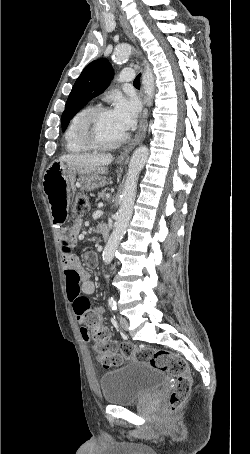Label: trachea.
Segmentation results:
<instances>
[{
    "label": "trachea",
    "instance_id": "obj_1",
    "mask_svg": "<svg viewBox=\"0 0 250 454\" xmlns=\"http://www.w3.org/2000/svg\"><path fill=\"white\" fill-rule=\"evenodd\" d=\"M140 76H141V74H139V75L135 78V80H134V85H135V86H140Z\"/></svg>",
    "mask_w": 250,
    "mask_h": 454
}]
</instances>
